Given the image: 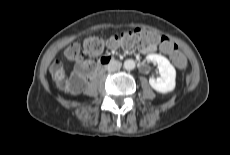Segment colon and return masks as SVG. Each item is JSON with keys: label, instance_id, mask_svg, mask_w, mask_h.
Segmentation results:
<instances>
[{"label": "colon", "instance_id": "1", "mask_svg": "<svg viewBox=\"0 0 230 155\" xmlns=\"http://www.w3.org/2000/svg\"><path fill=\"white\" fill-rule=\"evenodd\" d=\"M156 44H158L164 52L171 55L172 60L177 64V70L179 72H184L187 69V61L179 53L177 45L172 40L166 36L142 29L125 32L120 36H112L107 40L97 37L88 38L83 44V52L89 57H94L99 55L105 47L129 48L134 46L146 47ZM66 57L69 60L80 62V47L77 44L69 46L66 50ZM92 70V61L80 62L75 73L67 78L61 61L56 60L50 66V74L56 85L60 89L68 92H77L80 90Z\"/></svg>", "mask_w": 230, "mask_h": 155}]
</instances>
